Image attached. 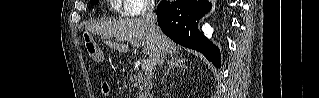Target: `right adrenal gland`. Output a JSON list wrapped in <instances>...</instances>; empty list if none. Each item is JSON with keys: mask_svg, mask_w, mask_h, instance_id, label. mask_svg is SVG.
Masks as SVG:
<instances>
[{"mask_svg": "<svg viewBox=\"0 0 319 98\" xmlns=\"http://www.w3.org/2000/svg\"><path fill=\"white\" fill-rule=\"evenodd\" d=\"M186 59L181 58L178 55L171 54V59L169 61V68L167 69V72L164 74L162 80H165L167 75L174 69V68H185L186 65Z\"/></svg>", "mask_w": 319, "mask_h": 98, "instance_id": "obj_1", "label": "right adrenal gland"}]
</instances>
